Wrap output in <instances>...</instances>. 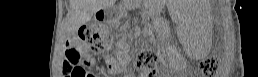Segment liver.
Listing matches in <instances>:
<instances>
[{
  "mask_svg": "<svg viewBox=\"0 0 258 77\" xmlns=\"http://www.w3.org/2000/svg\"><path fill=\"white\" fill-rule=\"evenodd\" d=\"M114 3L115 0H70L71 31H77L82 25L90 21L94 13Z\"/></svg>",
  "mask_w": 258,
  "mask_h": 77,
  "instance_id": "obj_1",
  "label": "liver"
}]
</instances>
